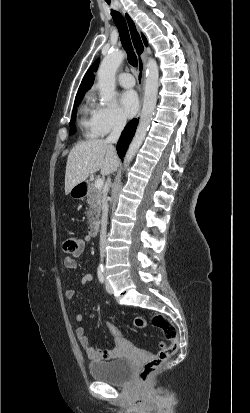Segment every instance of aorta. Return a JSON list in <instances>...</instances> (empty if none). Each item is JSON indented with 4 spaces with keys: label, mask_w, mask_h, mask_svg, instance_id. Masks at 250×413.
Returning <instances> with one entry per match:
<instances>
[{
    "label": "aorta",
    "mask_w": 250,
    "mask_h": 413,
    "mask_svg": "<svg viewBox=\"0 0 250 413\" xmlns=\"http://www.w3.org/2000/svg\"><path fill=\"white\" fill-rule=\"evenodd\" d=\"M124 60V53L121 51L112 52L104 57L98 69V88L101 101L110 102L115 94V74L118 67ZM159 70L154 59H149L146 69L145 93L140 121L135 136L126 153L124 164L127 166L132 161L138 149L143 143L155 111Z\"/></svg>",
    "instance_id": "aorta-1"
}]
</instances>
